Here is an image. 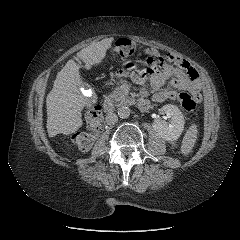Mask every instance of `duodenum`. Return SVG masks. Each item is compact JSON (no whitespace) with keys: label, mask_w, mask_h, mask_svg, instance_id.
<instances>
[{"label":"duodenum","mask_w":240,"mask_h":240,"mask_svg":"<svg viewBox=\"0 0 240 240\" xmlns=\"http://www.w3.org/2000/svg\"><path fill=\"white\" fill-rule=\"evenodd\" d=\"M138 107L139 109H141L142 111H146L147 109H149V102L145 99H141L138 102ZM104 109L107 112H112L114 109V104L111 100L106 99L104 102Z\"/></svg>","instance_id":"1"}]
</instances>
